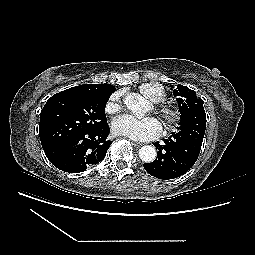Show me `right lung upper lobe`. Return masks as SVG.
<instances>
[{"instance_id": "right-lung-upper-lobe-1", "label": "right lung upper lobe", "mask_w": 255, "mask_h": 255, "mask_svg": "<svg viewBox=\"0 0 255 255\" xmlns=\"http://www.w3.org/2000/svg\"><path fill=\"white\" fill-rule=\"evenodd\" d=\"M115 91V87L111 84H88L79 85L67 90L62 91V93L71 94H103L109 95Z\"/></svg>"}]
</instances>
